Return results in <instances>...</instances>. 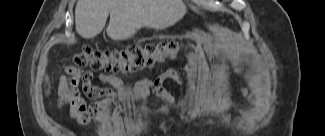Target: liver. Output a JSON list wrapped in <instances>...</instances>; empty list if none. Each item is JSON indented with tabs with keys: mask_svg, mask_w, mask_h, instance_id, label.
<instances>
[{
	"mask_svg": "<svg viewBox=\"0 0 325 136\" xmlns=\"http://www.w3.org/2000/svg\"><path fill=\"white\" fill-rule=\"evenodd\" d=\"M185 13L183 0H78L75 26L81 37L90 39L102 32L110 15L108 36L127 40L144 27L166 29Z\"/></svg>",
	"mask_w": 325,
	"mask_h": 136,
	"instance_id": "6515ba94",
	"label": "liver"
}]
</instances>
